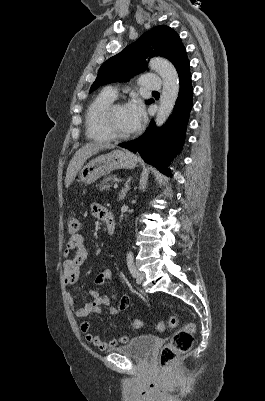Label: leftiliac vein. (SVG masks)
Listing matches in <instances>:
<instances>
[{
	"instance_id": "1",
	"label": "left iliac vein",
	"mask_w": 265,
	"mask_h": 401,
	"mask_svg": "<svg viewBox=\"0 0 265 401\" xmlns=\"http://www.w3.org/2000/svg\"><path fill=\"white\" fill-rule=\"evenodd\" d=\"M144 280V273L141 271H137L136 282L140 284Z\"/></svg>"
}]
</instances>
